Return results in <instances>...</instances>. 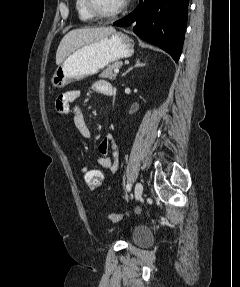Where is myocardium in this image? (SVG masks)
<instances>
[{"mask_svg": "<svg viewBox=\"0 0 240 287\" xmlns=\"http://www.w3.org/2000/svg\"><path fill=\"white\" fill-rule=\"evenodd\" d=\"M129 0H123V2L113 11L110 12H104L101 11L95 0H86V6L91 15H93L95 18L98 19H111L119 14H121L128 6Z\"/></svg>", "mask_w": 240, "mask_h": 287, "instance_id": "1", "label": "myocardium"}]
</instances>
